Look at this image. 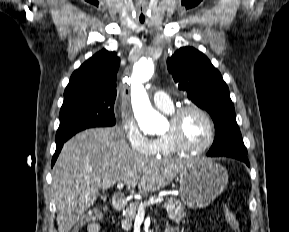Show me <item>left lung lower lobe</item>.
I'll return each mask as SVG.
<instances>
[{
    "mask_svg": "<svg viewBox=\"0 0 289 232\" xmlns=\"http://www.w3.org/2000/svg\"><path fill=\"white\" fill-rule=\"evenodd\" d=\"M221 156H226V157H231V158L241 160V161L245 162L248 166H250L246 154H225V155H221Z\"/></svg>",
    "mask_w": 289,
    "mask_h": 232,
    "instance_id": "0a47b994",
    "label": "left lung lower lobe"
}]
</instances>
